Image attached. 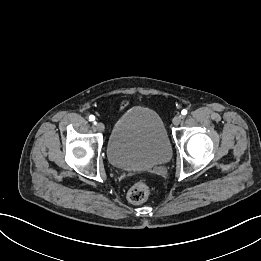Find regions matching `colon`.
<instances>
[{"label": "colon", "instance_id": "colon-1", "mask_svg": "<svg viewBox=\"0 0 261 261\" xmlns=\"http://www.w3.org/2000/svg\"><path fill=\"white\" fill-rule=\"evenodd\" d=\"M150 194L149 186L144 181H137L128 190L127 197L132 203L139 204L144 202Z\"/></svg>", "mask_w": 261, "mask_h": 261}]
</instances>
